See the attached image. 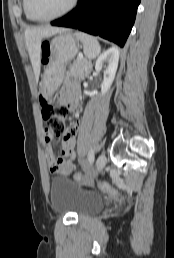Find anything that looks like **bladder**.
<instances>
[{
	"label": "bladder",
	"mask_w": 174,
	"mask_h": 258,
	"mask_svg": "<svg viewBox=\"0 0 174 258\" xmlns=\"http://www.w3.org/2000/svg\"><path fill=\"white\" fill-rule=\"evenodd\" d=\"M50 200L55 210L72 212L79 217L98 212L104 206L101 196L82 192L69 178L62 176L52 179Z\"/></svg>",
	"instance_id": "obj_1"
}]
</instances>
